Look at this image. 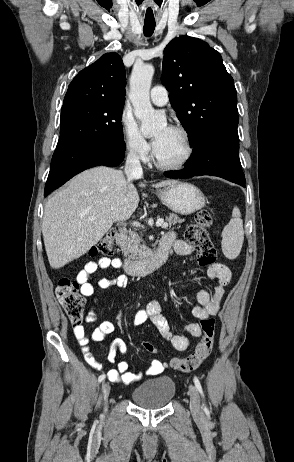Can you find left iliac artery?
<instances>
[{
    "label": "left iliac artery",
    "mask_w": 294,
    "mask_h": 462,
    "mask_svg": "<svg viewBox=\"0 0 294 462\" xmlns=\"http://www.w3.org/2000/svg\"><path fill=\"white\" fill-rule=\"evenodd\" d=\"M194 383H195V386H196L197 390L201 394V396L204 397L201 383H200L199 379L196 376H194ZM206 410H207V408H206V406H204V411H206Z\"/></svg>",
    "instance_id": "left-iliac-artery-1"
}]
</instances>
